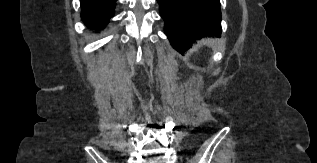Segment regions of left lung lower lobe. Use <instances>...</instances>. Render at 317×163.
Instances as JSON below:
<instances>
[{
    "label": "left lung lower lobe",
    "instance_id": "0a47b994",
    "mask_svg": "<svg viewBox=\"0 0 317 163\" xmlns=\"http://www.w3.org/2000/svg\"><path fill=\"white\" fill-rule=\"evenodd\" d=\"M164 19V31L171 45L180 53L196 39L221 34L219 0H157Z\"/></svg>",
    "mask_w": 317,
    "mask_h": 163
}]
</instances>
